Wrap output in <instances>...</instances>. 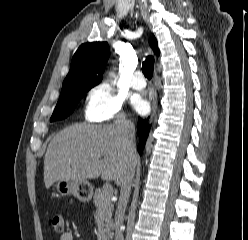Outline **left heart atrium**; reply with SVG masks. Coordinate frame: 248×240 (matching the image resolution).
<instances>
[{
    "label": "left heart atrium",
    "mask_w": 248,
    "mask_h": 240,
    "mask_svg": "<svg viewBox=\"0 0 248 240\" xmlns=\"http://www.w3.org/2000/svg\"><path fill=\"white\" fill-rule=\"evenodd\" d=\"M133 105L138 112H142L146 108V102L141 98H136Z\"/></svg>",
    "instance_id": "1"
}]
</instances>
